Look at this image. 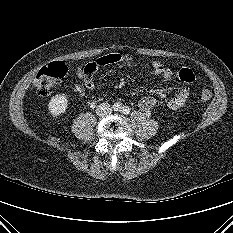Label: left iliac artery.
I'll return each mask as SVG.
<instances>
[{"instance_id": "obj_1", "label": "left iliac artery", "mask_w": 233, "mask_h": 233, "mask_svg": "<svg viewBox=\"0 0 233 233\" xmlns=\"http://www.w3.org/2000/svg\"><path fill=\"white\" fill-rule=\"evenodd\" d=\"M121 111H122V113H124L125 115H128V114L130 113V109H129V107H127V106H123Z\"/></svg>"}]
</instances>
